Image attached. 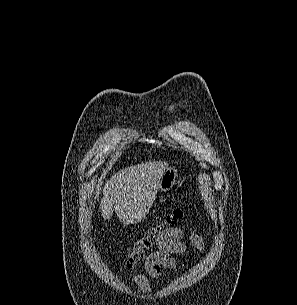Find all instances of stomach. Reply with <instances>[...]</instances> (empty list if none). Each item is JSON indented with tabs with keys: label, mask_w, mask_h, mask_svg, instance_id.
<instances>
[{
	"label": "stomach",
	"mask_w": 297,
	"mask_h": 305,
	"mask_svg": "<svg viewBox=\"0 0 297 305\" xmlns=\"http://www.w3.org/2000/svg\"><path fill=\"white\" fill-rule=\"evenodd\" d=\"M178 178V171L175 167H168L160 178L158 190L167 192L173 188Z\"/></svg>",
	"instance_id": "1"
}]
</instances>
